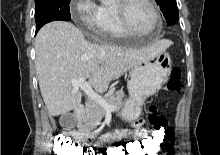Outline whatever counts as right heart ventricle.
Segmentation results:
<instances>
[{
    "instance_id": "1",
    "label": "right heart ventricle",
    "mask_w": 220,
    "mask_h": 155,
    "mask_svg": "<svg viewBox=\"0 0 220 155\" xmlns=\"http://www.w3.org/2000/svg\"><path fill=\"white\" fill-rule=\"evenodd\" d=\"M101 14L103 18V28L99 34L103 38L118 39L130 35L122 26L115 5H102Z\"/></svg>"
}]
</instances>
